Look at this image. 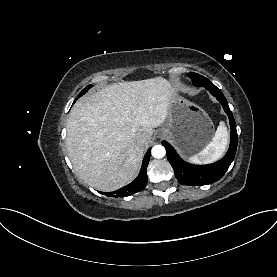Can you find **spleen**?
Listing matches in <instances>:
<instances>
[{"mask_svg":"<svg viewBox=\"0 0 277 277\" xmlns=\"http://www.w3.org/2000/svg\"><path fill=\"white\" fill-rule=\"evenodd\" d=\"M228 144V131L224 122H220L212 141L199 153L188 160L194 164H208L219 159L225 152Z\"/></svg>","mask_w":277,"mask_h":277,"instance_id":"1","label":"spleen"}]
</instances>
